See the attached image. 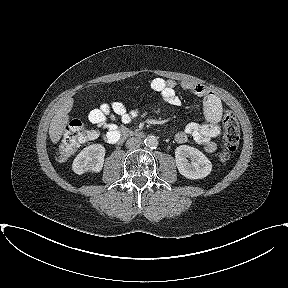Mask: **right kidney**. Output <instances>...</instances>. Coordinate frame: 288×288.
Segmentation results:
<instances>
[{
	"label": "right kidney",
	"mask_w": 288,
	"mask_h": 288,
	"mask_svg": "<svg viewBox=\"0 0 288 288\" xmlns=\"http://www.w3.org/2000/svg\"><path fill=\"white\" fill-rule=\"evenodd\" d=\"M105 148L101 144L85 147L73 161V171L83 174L88 171L100 172L104 164Z\"/></svg>",
	"instance_id": "obj_1"
}]
</instances>
